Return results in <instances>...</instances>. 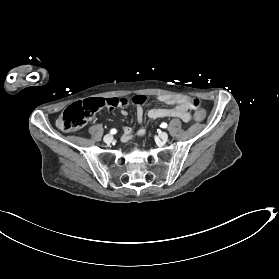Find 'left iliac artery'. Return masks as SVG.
<instances>
[{
	"label": "left iliac artery",
	"mask_w": 279,
	"mask_h": 279,
	"mask_svg": "<svg viewBox=\"0 0 279 279\" xmlns=\"http://www.w3.org/2000/svg\"><path fill=\"white\" fill-rule=\"evenodd\" d=\"M160 127L166 128L167 127V123H165V122L161 123Z\"/></svg>",
	"instance_id": "44dca946"
}]
</instances>
